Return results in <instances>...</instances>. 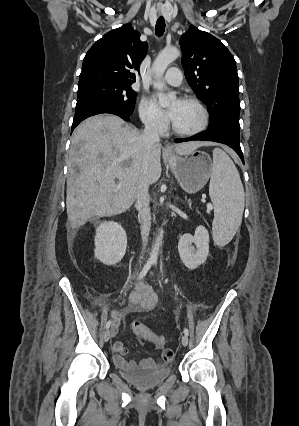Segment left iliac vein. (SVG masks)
Here are the masks:
<instances>
[{"instance_id": "4c4485c4", "label": "left iliac vein", "mask_w": 299, "mask_h": 426, "mask_svg": "<svg viewBox=\"0 0 299 426\" xmlns=\"http://www.w3.org/2000/svg\"><path fill=\"white\" fill-rule=\"evenodd\" d=\"M181 343L183 346H187L188 345V336L187 335H183L181 338Z\"/></svg>"}]
</instances>
